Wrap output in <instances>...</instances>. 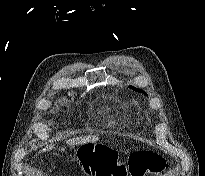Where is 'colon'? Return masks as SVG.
Returning <instances> with one entry per match:
<instances>
[{"mask_svg":"<svg viewBox=\"0 0 205 176\" xmlns=\"http://www.w3.org/2000/svg\"><path fill=\"white\" fill-rule=\"evenodd\" d=\"M66 158L71 161L74 156L68 154ZM77 160L83 170L93 176H154L165 166L164 160L156 152L147 149L133 152L127 165L118 164L111 151L104 147L82 152Z\"/></svg>","mask_w":205,"mask_h":176,"instance_id":"5ec220e1","label":"colon"}]
</instances>
